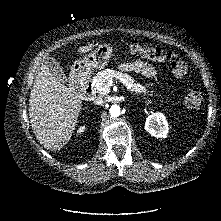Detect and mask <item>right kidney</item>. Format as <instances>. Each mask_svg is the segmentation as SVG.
<instances>
[{
  "label": "right kidney",
  "mask_w": 221,
  "mask_h": 221,
  "mask_svg": "<svg viewBox=\"0 0 221 221\" xmlns=\"http://www.w3.org/2000/svg\"><path fill=\"white\" fill-rule=\"evenodd\" d=\"M84 130H85V126H81L79 129H78V133H82V132H84Z\"/></svg>",
  "instance_id": "right-kidney-1"
}]
</instances>
